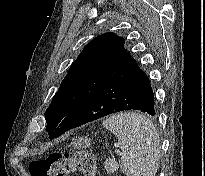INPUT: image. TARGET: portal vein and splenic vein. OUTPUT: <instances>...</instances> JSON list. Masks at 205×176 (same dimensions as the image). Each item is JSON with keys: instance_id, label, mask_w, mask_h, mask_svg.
<instances>
[{"instance_id": "portal-vein-and-splenic-vein-1", "label": "portal vein and splenic vein", "mask_w": 205, "mask_h": 176, "mask_svg": "<svg viewBox=\"0 0 205 176\" xmlns=\"http://www.w3.org/2000/svg\"><path fill=\"white\" fill-rule=\"evenodd\" d=\"M115 153L118 154V155L121 154L120 151H119V149H115Z\"/></svg>"}]
</instances>
